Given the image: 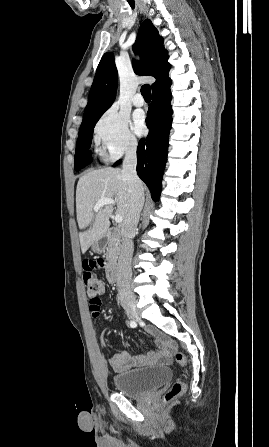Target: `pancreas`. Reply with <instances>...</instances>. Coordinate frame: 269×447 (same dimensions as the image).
Here are the masks:
<instances>
[{"mask_svg":"<svg viewBox=\"0 0 269 447\" xmlns=\"http://www.w3.org/2000/svg\"><path fill=\"white\" fill-rule=\"evenodd\" d=\"M121 251V243L119 237L111 235L108 239V247L105 253L108 263H116L118 255Z\"/></svg>","mask_w":269,"mask_h":447,"instance_id":"pancreas-1","label":"pancreas"}]
</instances>
